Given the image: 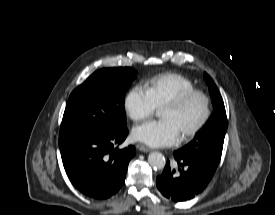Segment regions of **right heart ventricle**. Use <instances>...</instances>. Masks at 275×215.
Returning a JSON list of instances; mask_svg holds the SVG:
<instances>
[{
	"label": "right heart ventricle",
	"instance_id": "1",
	"mask_svg": "<svg viewBox=\"0 0 275 215\" xmlns=\"http://www.w3.org/2000/svg\"><path fill=\"white\" fill-rule=\"evenodd\" d=\"M145 88L157 107L183 92L195 89L191 80L178 73H162L150 78Z\"/></svg>",
	"mask_w": 275,
	"mask_h": 215
}]
</instances>
